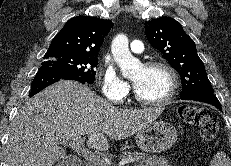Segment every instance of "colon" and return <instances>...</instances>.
<instances>
[{
    "label": "colon",
    "mask_w": 231,
    "mask_h": 166,
    "mask_svg": "<svg viewBox=\"0 0 231 166\" xmlns=\"http://www.w3.org/2000/svg\"><path fill=\"white\" fill-rule=\"evenodd\" d=\"M177 113L184 123L198 128L201 138L205 142L215 139L218 127L209 109L197 105H182L178 108Z\"/></svg>",
    "instance_id": "1"
}]
</instances>
